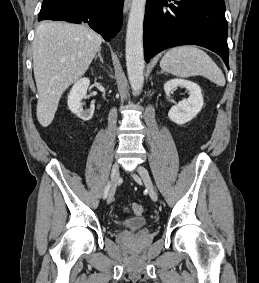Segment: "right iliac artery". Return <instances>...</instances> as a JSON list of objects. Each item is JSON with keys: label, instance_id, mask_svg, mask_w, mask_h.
Returning <instances> with one entry per match:
<instances>
[{"label": "right iliac artery", "instance_id": "1", "mask_svg": "<svg viewBox=\"0 0 259 283\" xmlns=\"http://www.w3.org/2000/svg\"><path fill=\"white\" fill-rule=\"evenodd\" d=\"M110 187H111V183H108L105 187V190H104V193H103V198L106 199L107 196H108V192L110 190Z\"/></svg>", "mask_w": 259, "mask_h": 283}]
</instances>
